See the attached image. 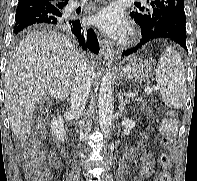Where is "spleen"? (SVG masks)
Masks as SVG:
<instances>
[{"mask_svg": "<svg viewBox=\"0 0 197 181\" xmlns=\"http://www.w3.org/2000/svg\"><path fill=\"white\" fill-rule=\"evenodd\" d=\"M155 72L165 105L173 109L181 108L186 100V77L183 61L174 47L164 49Z\"/></svg>", "mask_w": 197, "mask_h": 181, "instance_id": "1", "label": "spleen"}]
</instances>
